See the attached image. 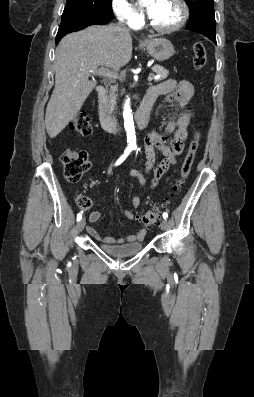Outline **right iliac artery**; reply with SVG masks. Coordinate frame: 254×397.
I'll return each mask as SVG.
<instances>
[{
    "mask_svg": "<svg viewBox=\"0 0 254 397\" xmlns=\"http://www.w3.org/2000/svg\"><path fill=\"white\" fill-rule=\"evenodd\" d=\"M130 152H131V149H130V148H127V149L124 151V154L117 160V162H116L115 165L121 164V163L127 158V156L129 155ZM81 218H82V212L78 213V215H77V221H80Z\"/></svg>",
    "mask_w": 254,
    "mask_h": 397,
    "instance_id": "1",
    "label": "right iliac artery"
}]
</instances>
